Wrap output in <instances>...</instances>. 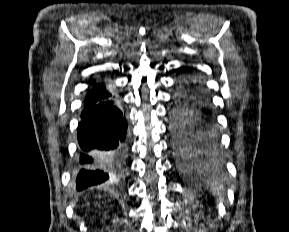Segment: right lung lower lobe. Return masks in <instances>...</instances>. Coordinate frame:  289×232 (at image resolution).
Returning a JSON list of instances; mask_svg holds the SVG:
<instances>
[{
    "label": "right lung lower lobe",
    "instance_id": "1",
    "mask_svg": "<svg viewBox=\"0 0 289 232\" xmlns=\"http://www.w3.org/2000/svg\"><path fill=\"white\" fill-rule=\"evenodd\" d=\"M127 122L113 96L85 100L78 125L77 189L103 183L126 150Z\"/></svg>",
    "mask_w": 289,
    "mask_h": 232
}]
</instances>
